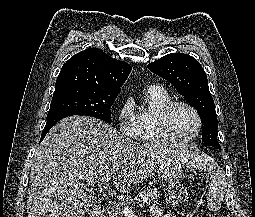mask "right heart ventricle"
Listing matches in <instances>:
<instances>
[{
    "instance_id": "1",
    "label": "right heart ventricle",
    "mask_w": 255,
    "mask_h": 217,
    "mask_svg": "<svg viewBox=\"0 0 255 217\" xmlns=\"http://www.w3.org/2000/svg\"><path fill=\"white\" fill-rule=\"evenodd\" d=\"M173 101L169 92L161 86H150L145 93L144 103L136 114V138L141 141H165L160 130L159 114L164 106Z\"/></svg>"
}]
</instances>
